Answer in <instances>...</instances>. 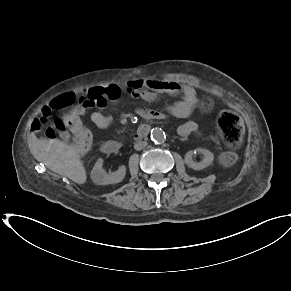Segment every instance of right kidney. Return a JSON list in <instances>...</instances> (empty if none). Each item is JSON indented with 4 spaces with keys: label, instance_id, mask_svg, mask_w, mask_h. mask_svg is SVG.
<instances>
[{
    "label": "right kidney",
    "instance_id": "ca27d5eb",
    "mask_svg": "<svg viewBox=\"0 0 291 291\" xmlns=\"http://www.w3.org/2000/svg\"><path fill=\"white\" fill-rule=\"evenodd\" d=\"M103 159L99 158L91 171V178L97 185L116 184L121 182L126 175V167L120 166L115 172L106 173L102 167Z\"/></svg>",
    "mask_w": 291,
    "mask_h": 291
}]
</instances>
